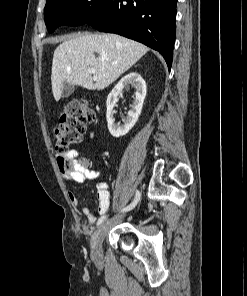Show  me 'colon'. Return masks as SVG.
I'll list each match as a JSON object with an SVG mask.
<instances>
[{
	"instance_id": "1",
	"label": "colon",
	"mask_w": 247,
	"mask_h": 296,
	"mask_svg": "<svg viewBox=\"0 0 247 296\" xmlns=\"http://www.w3.org/2000/svg\"><path fill=\"white\" fill-rule=\"evenodd\" d=\"M96 115L94 110L84 100H72L65 106L59 122L55 128L58 161L60 166L68 171H73L76 167L82 169L86 167V162L82 159L69 160L65 154L70 147L78 144L84 135L87 125L94 123Z\"/></svg>"
}]
</instances>
